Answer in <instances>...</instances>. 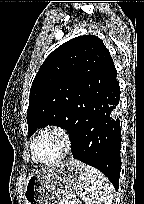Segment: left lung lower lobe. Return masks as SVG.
I'll list each match as a JSON object with an SVG mask.
<instances>
[{"instance_id":"obj_1","label":"left lung lower lobe","mask_w":144,"mask_h":204,"mask_svg":"<svg viewBox=\"0 0 144 204\" xmlns=\"http://www.w3.org/2000/svg\"><path fill=\"white\" fill-rule=\"evenodd\" d=\"M113 60L99 65L87 91L80 128L71 139L73 157L108 177L116 191L121 170L120 121L114 116L120 89Z\"/></svg>"}]
</instances>
